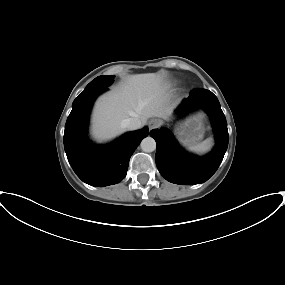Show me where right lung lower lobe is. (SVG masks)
I'll list each match as a JSON object with an SVG mask.
<instances>
[{
    "label": "right lung lower lobe",
    "instance_id": "1",
    "mask_svg": "<svg viewBox=\"0 0 285 285\" xmlns=\"http://www.w3.org/2000/svg\"><path fill=\"white\" fill-rule=\"evenodd\" d=\"M107 87L79 95L72 104L64 131V148L70 165L85 183L104 187L119 183L127 174L129 160L148 128L129 132L109 145H94L87 126L95 98Z\"/></svg>",
    "mask_w": 285,
    "mask_h": 285
}]
</instances>
